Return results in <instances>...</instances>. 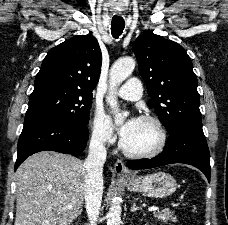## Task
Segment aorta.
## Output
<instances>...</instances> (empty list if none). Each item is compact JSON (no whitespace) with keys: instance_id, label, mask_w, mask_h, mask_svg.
<instances>
[{"instance_id":"aorta-1","label":"aorta","mask_w":228,"mask_h":225,"mask_svg":"<svg viewBox=\"0 0 228 225\" xmlns=\"http://www.w3.org/2000/svg\"><path fill=\"white\" fill-rule=\"evenodd\" d=\"M135 68V60L132 58V56H124V58H118L114 64H112L110 68V74H109V90H108V96H106V100L111 106V108H114V123L115 125H123L125 117H127L128 113H120V110H118V102H117V96H116V90L127 78V76H130L132 74L133 70ZM118 197L116 199H113V203L108 211L107 215V225H121V205L120 203H117Z\"/></svg>"}]
</instances>
